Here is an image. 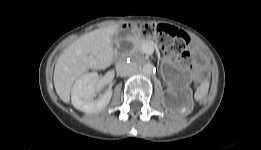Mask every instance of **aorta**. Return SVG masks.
<instances>
[{
	"mask_svg": "<svg viewBox=\"0 0 261 150\" xmlns=\"http://www.w3.org/2000/svg\"><path fill=\"white\" fill-rule=\"evenodd\" d=\"M155 70V67L153 64L147 63L143 66L142 68V72L145 75H150L153 73V71Z\"/></svg>",
	"mask_w": 261,
	"mask_h": 150,
	"instance_id": "1",
	"label": "aorta"
}]
</instances>
